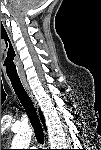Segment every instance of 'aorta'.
I'll return each instance as SVG.
<instances>
[{
	"mask_svg": "<svg viewBox=\"0 0 101 150\" xmlns=\"http://www.w3.org/2000/svg\"><path fill=\"white\" fill-rule=\"evenodd\" d=\"M32 138V130L25 128L21 132L17 133L12 141L13 149H27L29 147Z\"/></svg>",
	"mask_w": 101,
	"mask_h": 150,
	"instance_id": "762f6f07",
	"label": "aorta"
}]
</instances>
